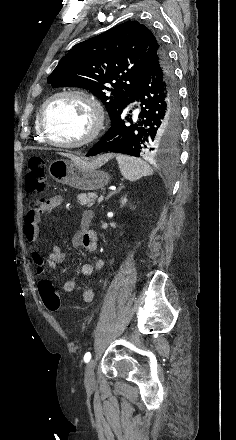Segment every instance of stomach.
<instances>
[{
  "label": "stomach",
  "mask_w": 236,
  "mask_h": 440,
  "mask_svg": "<svg viewBox=\"0 0 236 440\" xmlns=\"http://www.w3.org/2000/svg\"><path fill=\"white\" fill-rule=\"evenodd\" d=\"M50 176L58 183L80 190H96L108 184L110 175L72 159H57L50 163Z\"/></svg>",
  "instance_id": "1"
}]
</instances>
